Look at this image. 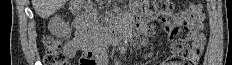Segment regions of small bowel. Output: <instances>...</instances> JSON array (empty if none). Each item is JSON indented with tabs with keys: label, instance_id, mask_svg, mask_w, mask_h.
Listing matches in <instances>:
<instances>
[{
	"label": "small bowel",
	"instance_id": "small-bowel-1",
	"mask_svg": "<svg viewBox=\"0 0 232 65\" xmlns=\"http://www.w3.org/2000/svg\"><path fill=\"white\" fill-rule=\"evenodd\" d=\"M142 11V18L146 21L147 28L141 29L140 33H137V46H142L146 43V38H149V34H153L154 30L148 26V23L154 18L152 11L148 10L144 5L140 6ZM75 36L68 42L65 46V53L69 57L75 56V54L80 50H89L88 49V37L84 30H82L77 22H75ZM181 29L187 30V19L186 14L178 13L172 19H170L166 25L165 30L171 35H177ZM205 44V36L202 33V30L197 32L192 41V52L188 57L187 64L181 63L175 59L166 61L160 65H190L196 64ZM100 64H103L106 61L105 52L97 54Z\"/></svg>",
	"mask_w": 232,
	"mask_h": 65
}]
</instances>
